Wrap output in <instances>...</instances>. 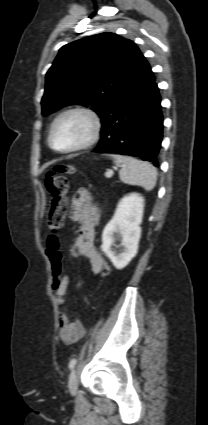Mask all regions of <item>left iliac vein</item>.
<instances>
[{
	"label": "left iliac vein",
	"instance_id": "obj_1",
	"mask_svg": "<svg viewBox=\"0 0 208 425\" xmlns=\"http://www.w3.org/2000/svg\"><path fill=\"white\" fill-rule=\"evenodd\" d=\"M68 387H69V391L71 394H76L77 393V388H78V377H77V372L76 370H72L70 375H69V380H68Z\"/></svg>",
	"mask_w": 208,
	"mask_h": 425
}]
</instances>
